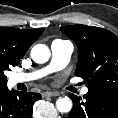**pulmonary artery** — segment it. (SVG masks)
<instances>
[{"label": "pulmonary artery", "instance_id": "obj_1", "mask_svg": "<svg viewBox=\"0 0 118 118\" xmlns=\"http://www.w3.org/2000/svg\"><path fill=\"white\" fill-rule=\"evenodd\" d=\"M73 49V44L68 40H54L51 44V63L47 67L31 73H14L9 78L10 83L12 85L27 83L36 80L50 72L64 68L71 58ZM81 93L83 95L87 94L88 88L84 87L81 90Z\"/></svg>", "mask_w": 118, "mask_h": 118}]
</instances>
